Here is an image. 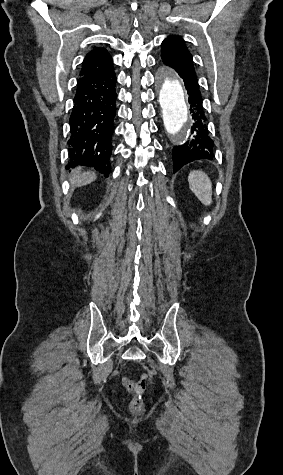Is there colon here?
<instances>
[{
    "mask_svg": "<svg viewBox=\"0 0 283 475\" xmlns=\"http://www.w3.org/2000/svg\"><path fill=\"white\" fill-rule=\"evenodd\" d=\"M149 382V374L143 373L141 377L136 381H127V388L132 391L133 399L131 402V407L136 412H140L143 407V395L147 389Z\"/></svg>",
    "mask_w": 283,
    "mask_h": 475,
    "instance_id": "obj_1",
    "label": "colon"
}]
</instances>
